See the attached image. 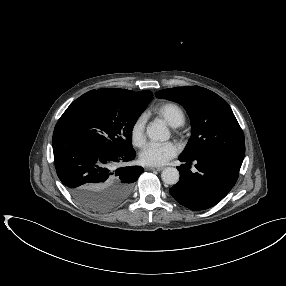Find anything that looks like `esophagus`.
Listing matches in <instances>:
<instances>
[{
    "label": "esophagus",
    "mask_w": 286,
    "mask_h": 286,
    "mask_svg": "<svg viewBox=\"0 0 286 286\" xmlns=\"http://www.w3.org/2000/svg\"><path fill=\"white\" fill-rule=\"evenodd\" d=\"M148 169L153 171H162L164 167H149Z\"/></svg>",
    "instance_id": "esophagus-1"
}]
</instances>
